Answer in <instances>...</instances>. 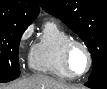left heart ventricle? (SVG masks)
<instances>
[{
  "label": "left heart ventricle",
  "instance_id": "1",
  "mask_svg": "<svg viewBox=\"0 0 107 89\" xmlns=\"http://www.w3.org/2000/svg\"><path fill=\"white\" fill-rule=\"evenodd\" d=\"M70 66L74 73H83L87 67V57L80 47H75L70 55Z\"/></svg>",
  "mask_w": 107,
  "mask_h": 89
}]
</instances>
